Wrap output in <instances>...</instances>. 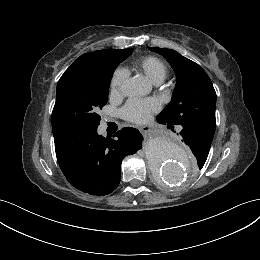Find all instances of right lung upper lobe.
I'll return each mask as SVG.
<instances>
[{
  "label": "right lung upper lobe",
  "mask_w": 260,
  "mask_h": 260,
  "mask_svg": "<svg viewBox=\"0 0 260 260\" xmlns=\"http://www.w3.org/2000/svg\"><path fill=\"white\" fill-rule=\"evenodd\" d=\"M113 51H120V50H117V49H105V50H99V51L83 54L82 56L77 58L75 60V62L70 67H73V66L79 64L80 62L86 60V59H91V58H96V57H99V56H103V55L108 54V53L113 52Z\"/></svg>",
  "instance_id": "cb5924a9"
}]
</instances>
